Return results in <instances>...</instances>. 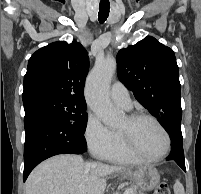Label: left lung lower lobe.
Masks as SVG:
<instances>
[{"label": "left lung lower lobe", "mask_w": 201, "mask_h": 194, "mask_svg": "<svg viewBox=\"0 0 201 194\" xmlns=\"http://www.w3.org/2000/svg\"><path fill=\"white\" fill-rule=\"evenodd\" d=\"M167 132L170 135L172 149L170 155L167 157V160L175 161L186 172L181 126L172 125Z\"/></svg>", "instance_id": "0a47b994"}]
</instances>
